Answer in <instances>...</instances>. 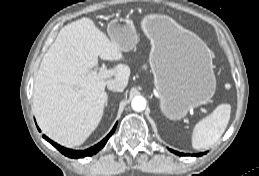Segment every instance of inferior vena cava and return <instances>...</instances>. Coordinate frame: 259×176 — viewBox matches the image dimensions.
Segmentation results:
<instances>
[{
  "label": "inferior vena cava",
  "instance_id": "602c4592",
  "mask_svg": "<svg viewBox=\"0 0 259 176\" xmlns=\"http://www.w3.org/2000/svg\"><path fill=\"white\" fill-rule=\"evenodd\" d=\"M107 89L115 92L122 91V87L120 86V84L115 82L108 84Z\"/></svg>",
  "mask_w": 259,
  "mask_h": 176
}]
</instances>
